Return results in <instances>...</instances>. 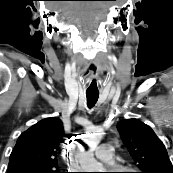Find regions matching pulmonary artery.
Returning a JSON list of instances; mask_svg holds the SVG:
<instances>
[{
    "label": "pulmonary artery",
    "mask_w": 173,
    "mask_h": 173,
    "mask_svg": "<svg viewBox=\"0 0 173 173\" xmlns=\"http://www.w3.org/2000/svg\"><path fill=\"white\" fill-rule=\"evenodd\" d=\"M113 146L111 144L105 143L99 145L95 150V157L97 160L112 164L113 163Z\"/></svg>",
    "instance_id": "obj_1"
}]
</instances>
